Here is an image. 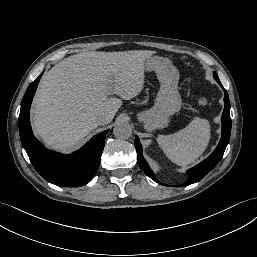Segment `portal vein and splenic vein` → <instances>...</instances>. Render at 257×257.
<instances>
[{
    "label": "portal vein and splenic vein",
    "instance_id": "18ae733b",
    "mask_svg": "<svg viewBox=\"0 0 257 257\" xmlns=\"http://www.w3.org/2000/svg\"><path fill=\"white\" fill-rule=\"evenodd\" d=\"M111 92H112V89L109 87V88L107 89V94L110 95Z\"/></svg>",
    "mask_w": 257,
    "mask_h": 257
}]
</instances>
